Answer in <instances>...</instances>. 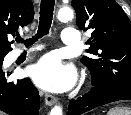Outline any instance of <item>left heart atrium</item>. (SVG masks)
Returning a JSON list of instances; mask_svg holds the SVG:
<instances>
[{"label": "left heart atrium", "instance_id": "left-heart-atrium-1", "mask_svg": "<svg viewBox=\"0 0 131 115\" xmlns=\"http://www.w3.org/2000/svg\"><path fill=\"white\" fill-rule=\"evenodd\" d=\"M28 73L38 86L50 91L66 90L75 81L74 69L63 65L54 55L41 58Z\"/></svg>", "mask_w": 131, "mask_h": 115}]
</instances>
